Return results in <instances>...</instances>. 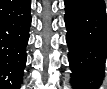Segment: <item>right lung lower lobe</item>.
I'll use <instances>...</instances> for the list:
<instances>
[{"label":"right lung lower lobe","mask_w":107,"mask_h":89,"mask_svg":"<svg viewBox=\"0 0 107 89\" xmlns=\"http://www.w3.org/2000/svg\"><path fill=\"white\" fill-rule=\"evenodd\" d=\"M30 0L0 1V87L19 89L31 25Z\"/></svg>","instance_id":"1"}]
</instances>
